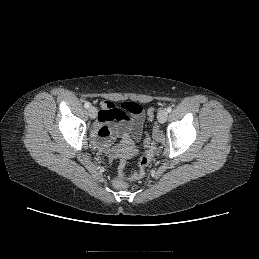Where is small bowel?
Here are the masks:
<instances>
[{
  "label": "small bowel",
  "instance_id": "1",
  "mask_svg": "<svg viewBox=\"0 0 259 259\" xmlns=\"http://www.w3.org/2000/svg\"><path fill=\"white\" fill-rule=\"evenodd\" d=\"M138 107L137 112L128 111L113 102L104 101L98 113L96 123V144L102 147L108 145L111 138H126L131 136L134 140L141 137L144 121L143 109L138 103L131 102ZM117 122V125L113 123Z\"/></svg>",
  "mask_w": 259,
  "mask_h": 259
}]
</instances>
